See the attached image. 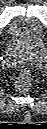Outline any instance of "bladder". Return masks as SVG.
<instances>
[{"label":"bladder","mask_w":47,"mask_h":129,"mask_svg":"<svg viewBox=\"0 0 47 129\" xmlns=\"http://www.w3.org/2000/svg\"><path fill=\"white\" fill-rule=\"evenodd\" d=\"M41 31L42 25L37 20L28 18L15 19L8 26L9 35L14 38L39 35Z\"/></svg>","instance_id":"31cf9c89"}]
</instances>
